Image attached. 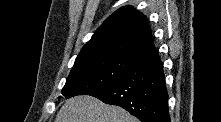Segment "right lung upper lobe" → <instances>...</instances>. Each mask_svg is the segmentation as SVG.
<instances>
[{"label": "right lung upper lobe", "instance_id": "obj_1", "mask_svg": "<svg viewBox=\"0 0 221 122\" xmlns=\"http://www.w3.org/2000/svg\"><path fill=\"white\" fill-rule=\"evenodd\" d=\"M154 49L146 17L125 6L105 20L81 49L74 65L112 56L138 60Z\"/></svg>", "mask_w": 221, "mask_h": 122}]
</instances>
